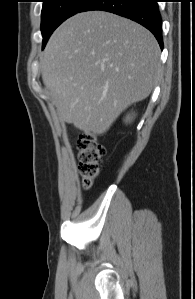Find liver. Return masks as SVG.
Masks as SVG:
<instances>
[{
	"label": "liver",
	"mask_w": 195,
	"mask_h": 299,
	"mask_svg": "<svg viewBox=\"0 0 195 299\" xmlns=\"http://www.w3.org/2000/svg\"><path fill=\"white\" fill-rule=\"evenodd\" d=\"M159 57L155 37L141 25L103 11L78 13L50 37L42 80L63 121L101 135L149 96L161 73Z\"/></svg>",
	"instance_id": "6515ba94"
}]
</instances>
